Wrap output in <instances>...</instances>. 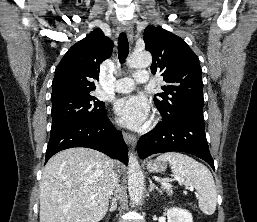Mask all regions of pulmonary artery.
Wrapping results in <instances>:
<instances>
[{
	"label": "pulmonary artery",
	"instance_id": "pulmonary-artery-1",
	"mask_svg": "<svg viewBox=\"0 0 257 222\" xmlns=\"http://www.w3.org/2000/svg\"><path fill=\"white\" fill-rule=\"evenodd\" d=\"M149 73L147 71H140L135 74L134 79L123 78L115 82L114 90L118 93L129 92L134 88L135 83H148Z\"/></svg>",
	"mask_w": 257,
	"mask_h": 222
}]
</instances>
